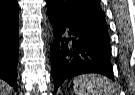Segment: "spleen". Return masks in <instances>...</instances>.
I'll return each instance as SVG.
<instances>
[{
    "mask_svg": "<svg viewBox=\"0 0 135 95\" xmlns=\"http://www.w3.org/2000/svg\"><path fill=\"white\" fill-rule=\"evenodd\" d=\"M76 95H116L112 82L105 76L85 74L73 81Z\"/></svg>",
    "mask_w": 135,
    "mask_h": 95,
    "instance_id": "obj_1",
    "label": "spleen"
}]
</instances>
